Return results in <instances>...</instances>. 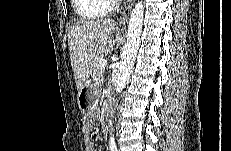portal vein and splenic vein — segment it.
I'll list each match as a JSON object with an SVG mask.
<instances>
[{"label": "portal vein and splenic vein", "instance_id": "portal-vein-and-splenic-vein-1", "mask_svg": "<svg viewBox=\"0 0 231 151\" xmlns=\"http://www.w3.org/2000/svg\"><path fill=\"white\" fill-rule=\"evenodd\" d=\"M107 65V60H102L101 63H100V68L101 69H104Z\"/></svg>", "mask_w": 231, "mask_h": 151}]
</instances>
